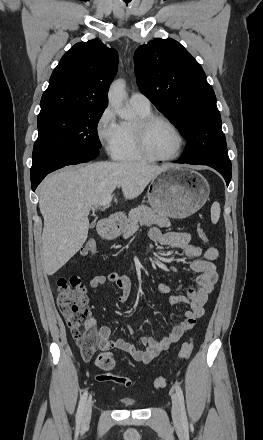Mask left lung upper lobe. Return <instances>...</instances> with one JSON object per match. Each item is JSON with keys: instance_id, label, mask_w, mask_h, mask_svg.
<instances>
[{"instance_id": "5c2ea615", "label": "left lung upper lobe", "mask_w": 263, "mask_h": 440, "mask_svg": "<svg viewBox=\"0 0 263 440\" xmlns=\"http://www.w3.org/2000/svg\"><path fill=\"white\" fill-rule=\"evenodd\" d=\"M140 91L187 139L189 164L231 165L213 88L200 64L174 39L156 38L134 54Z\"/></svg>"}]
</instances>
